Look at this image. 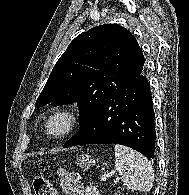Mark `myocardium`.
<instances>
[{"label": "myocardium", "mask_w": 189, "mask_h": 195, "mask_svg": "<svg viewBox=\"0 0 189 195\" xmlns=\"http://www.w3.org/2000/svg\"><path fill=\"white\" fill-rule=\"evenodd\" d=\"M59 115H65L68 118L67 127L65 130L59 134H54L50 131L49 125L51 121L59 116ZM81 121V115L79 111L73 107V106H60L55 108L47 117L45 121V132L47 135H49L53 139H63L67 136H69L71 133L75 131V129L78 127Z\"/></svg>", "instance_id": "myocardium-1"}]
</instances>
